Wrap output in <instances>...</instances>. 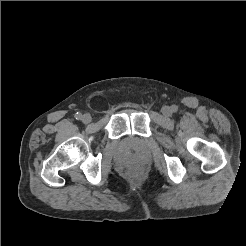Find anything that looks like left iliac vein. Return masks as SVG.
<instances>
[{
  "instance_id": "4c4485c4",
  "label": "left iliac vein",
  "mask_w": 246,
  "mask_h": 246,
  "mask_svg": "<svg viewBox=\"0 0 246 246\" xmlns=\"http://www.w3.org/2000/svg\"><path fill=\"white\" fill-rule=\"evenodd\" d=\"M161 112L165 116H170L172 113L170 107H168V106L162 107Z\"/></svg>"
}]
</instances>
